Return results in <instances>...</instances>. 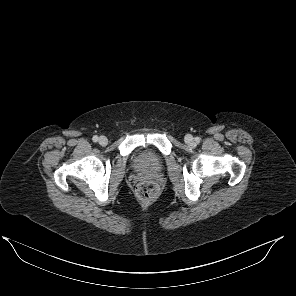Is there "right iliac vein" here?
<instances>
[{
	"instance_id": "1",
	"label": "right iliac vein",
	"mask_w": 296,
	"mask_h": 296,
	"mask_svg": "<svg viewBox=\"0 0 296 296\" xmlns=\"http://www.w3.org/2000/svg\"><path fill=\"white\" fill-rule=\"evenodd\" d=\"M107 143H108V139L105 136H101L99 138V144L100 145L105 146V145H107Z\"/></svg>"
}]
</instances>
